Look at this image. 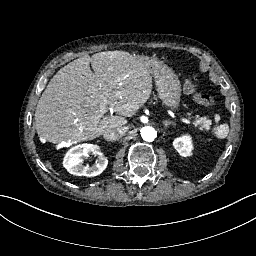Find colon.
Masks as SVG:
<instances>
[{"mask_svg": "<svg viewBox=\"0 0 256 256\" xmlns=\"http://www.w3.org/2000/svg\"><path fill=\"white\" fill-rule=\"evenodd\" d=\"M184 91L203 106H210L214 102L211 89L208 87H196L190 78H186L184 81Z\"/></svg>", "mask_w": 256, "mask_h": 256, "instance_id": "obj_1", "label": "colon"}]
</instances>
